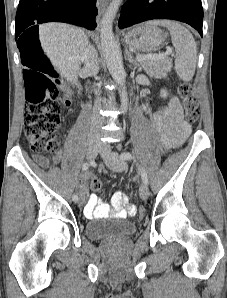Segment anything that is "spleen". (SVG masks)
Returning <instances> with one entry per match:
<instances>
[{
	"mask_svg": "<svg viewBox=\"0 0 227 298\" xmlns=\"http://www.w3.org/2000/svg\"><path fill=\"white\" fill-rule=\"evenodd\" d=\"M150 23L168 28L176 51V73L183 81H190L195 73L197 59L196 43L190 31L175 21L156 20Z\"/></svg>",
	"mask_w": 227,
	"mask_h": 298,
	"instance_id": "3e777b00",
	"label": "spleen"
}]
</instances>
